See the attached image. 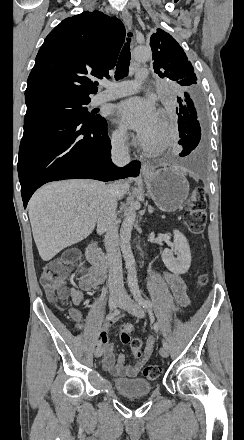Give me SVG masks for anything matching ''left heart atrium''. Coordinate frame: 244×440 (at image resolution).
<instances>
[{
	"mask_svg": "<svg viewBox=\"0 0 244 440\" xmlns=\"http://www.w3.org/2000/svg\"><path fill=\"white\" fill-rule=\"evenodd\" d=\"M115 113L121 124L142 135L154 127L158 116L154 103L139 97L123 101L116 107Z\"/></svg>",
	"mask_w": 244,
	"mask_h": 440,
	"instance_id": "obj_1",
	"label": "left heart atrium"
}]
</instances>
